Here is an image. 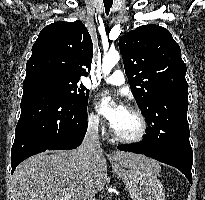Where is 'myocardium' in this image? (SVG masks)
Returning a JSON list of instances; mask_svg holds the SVG:
<instances>
[{"label": "myocardium", "mask_w": 205, "mask_h": 200, "mask_svg": "<svg viewBox=\"0 0 205 200\" xmlns=\"http://www.w3.org/2000/svg\"><path fill=\"white\" fill-rule=\"evenodd\" d=\"M127 109L130 110L131 112H133L137 116V118L140 122V129H139L138 133L134 136L127 137V136H123V135L116 133L112 128L111 134H112L113 138L119 142L129 143V144L138 143V142L142 141L147 134L148 122H147V119H146L144 113L141 111L140 108L133 106V105H130V106H128Z\"/></svg>", "instance_id": "myocardium-1"}]
</instances>
